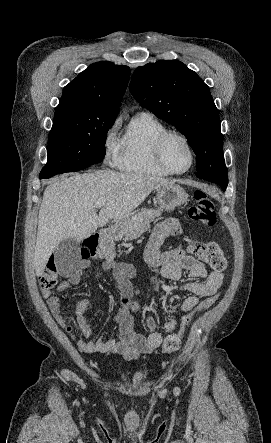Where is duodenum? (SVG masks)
<instances>
[{
	"instance_id": "obj_1",
	"label": "duodenum",
	"mask_w": 271,
	"mask_h": 443,
	"mask_svg": "<svg viewBox=\"0 0 271 443\" xmlns=\"http://www.w3.org/2000/svg\"><path fill=\"white\" fill-rule=\"evenodd\" d=\"M100 237L103 239H112L114 237V232L111 229H102L99 233Z\"/></svg>"
}]
</instances>
